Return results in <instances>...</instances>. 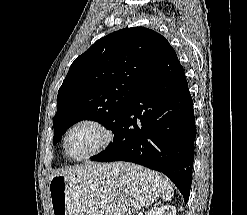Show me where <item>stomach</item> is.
I'll list each match as a JSON object with an SVG mask.
<instances>
[{
	"mask_svg": "<svg viewBox=\"0 0 247 215\" xmlns=\"http://www.w3.org/2000/svg\"><path fill=\"white\" fill-rule=\"evenodd\" d=\"M48 190L52 215H129L157 200L161 177L119 162L74 176H53Z\"/></svg>",
	"mask_w": 247,
	"mask_h": 215,
	"instance_id": "obj_1",
	"label": "stomach"
}]
</instances>
